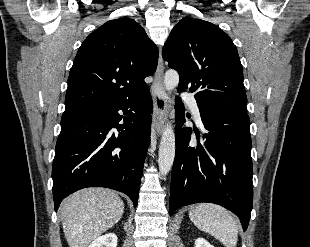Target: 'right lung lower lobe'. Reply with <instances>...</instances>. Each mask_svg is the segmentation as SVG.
Returning <instances> with one entry per match:
<instances>
[{"mask_svg":"<svg viewBox=\"0 0 310 247\" xmlns=\"http://www.w3.org/2000/svg\"><path fill=\"white\" fill-rule=\"evenodd\" d=\"M152 109L148 89L131 99L64 111L52 166L55 211L86 187L123 192L137 206Z\"/></svg>","mask_w":310,"mask_h":247,"instance_id":"1","label":"right lung lower lobe"}]
</instances>
